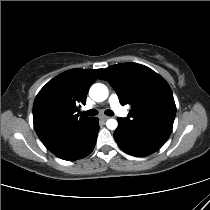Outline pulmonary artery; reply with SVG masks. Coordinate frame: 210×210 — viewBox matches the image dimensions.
<instances>
[{
	"instance_id": "e3ab8cb5",
	"label": "pulmonary artery",
	"mask_w": 210,
	"mask_h": 210,
	"mask_svg": "<svg viewBox=\"0 0 210 210\" xmlns=\"http://www.w3.org/2000/svg\"><path fill=\"white\" fill-rule=\"evenodd\" d=\"M109 105L117 115L121 117H126L128 115L127 110L121 106L116 95H111V97L109 98Z\"/></svg>"
}]
</instances>
